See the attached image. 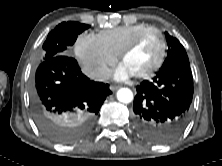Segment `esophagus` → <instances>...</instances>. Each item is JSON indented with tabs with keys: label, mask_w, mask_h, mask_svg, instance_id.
<instances>
[{
	"label": "esophagus",
	"mask_w": 222,
	"mask_h": 166,
	"mask_svg": "<svg viewBox=\"0 0 222 166\" xmlns=\"http://www.w3.org/2000/svg\"><path fill=\"white\" fill-rule=\"evenodd\" d=\"M118 89H119V86H117V85H111L110 86V90L113 91V92L118 90Z\"/></svg>",
	"instance_id": "34e87169"
}]
</instances>
